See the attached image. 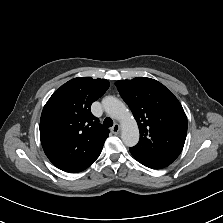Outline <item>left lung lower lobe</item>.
Wrapping results in <instances>:
<instances>
[{
    "instance_id": "obj_1",
    "label": "left lung lower lobe",
    "mask_w": 223,
    "mask_h": 223,
    "mask_svg": "<svg viewBox=\"0 0 223 223\" xmlns=\"http://www.w3.org/2000/svg\"><path fill=\"white\" fill-rule=\"evenodd\" d=\"M137 160L140 163H142L143 165H145L146 167H149V168H152V169H160V168H164V167L168 166V165H165V164L149 162V161H145V160H141V159H137Z\"/></svg>"
}]
</instances>
